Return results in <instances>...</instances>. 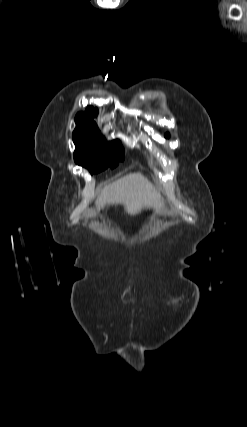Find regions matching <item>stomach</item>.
<instances>
[{"label":"stomach","instance_id":"0dacf381","mask_svg":"<svg viewBox=\"0 0 247 427\" xmlns=\"http://www.w3.org/2000/svg\"><path fill=\"white\" fill-rule=\"evenodd\" d=\"M158 214H164V213H170V210L167 206H163L160 210L157 212Z\"/></svg>","mask_w":247,"mask_h":427}]
</instances>
